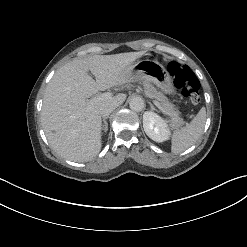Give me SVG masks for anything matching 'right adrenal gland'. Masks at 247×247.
Returning a JSON list of instances; mask_svg holds the SVG:
<instances>
[{"label":"right adrenal gland","instance_id":"right-adrenal-gland-1","mask_svg":"<svg viewBox=\"0 0 247 247\" xmlns=\"http://www.w3.org/2000/svg\"><path fill=\"white\" fill-rule=\"evenodd\" d=\"M108 119V116L107 117H104L103 118V130L106 132L108 130V123H107V120Z\"/></svg>","mask_w":247,"mask_h":247}]
</instances>
